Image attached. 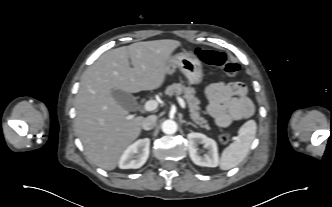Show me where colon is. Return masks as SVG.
<instances>
[{"mask_svg": "<svg viewBox=\"0 0 332 207\" xmlns=\"http://www.w3.org/2000/svg\"><path fill=\"white\" fill-rule=\"evenodd\" d=\"M196 52L204 63L219 67L228 77L234 78L238 75L240 66L229 61L225 53L209 49H197ZM219 140L226 144L229 142V136L220 134Z\"/></svg>", "mask_w": 332, "mask_h": 207, "instance_id": "1", "label": "colon"}]
</instances>
